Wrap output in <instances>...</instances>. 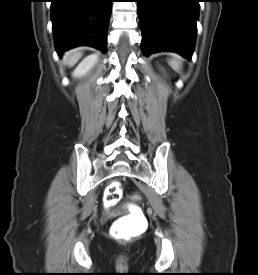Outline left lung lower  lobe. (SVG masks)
Segmentation results:
<instances>
[{"mask_svg":"<svg viewBox=\"0 0 258 275\" xmlns=\"http://www.w3.org/2000/svg\"><path fill=\"white\" fill-rule=\"evenodd\" d=\"M198 4L199 0H138L143 54L174 51L191 59Z\"/></svg>","mask_w":258,"mask_h":275,"instance_id":"left-lung-lower-lobe-1","label":"left lung lower lobe"}]
</instances>
